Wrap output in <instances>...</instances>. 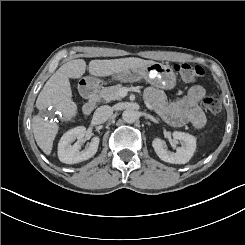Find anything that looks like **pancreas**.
<instances>
[{"label": "pancreas", "instance_id": "pancreas-1", "mask_svg": "<svg viewBox=\"0 0 245 245\" xmlns=\"http://www.w3.org/2000/svg\"><path fill=\"white\" fill-rule=\"evenodd\" d=\"M121 89L122 87L120 85L102 88L101 92H99L97 95L92 97L91 100L95 103L100 100H103L105 102H109L111 100H121L122 99V96L120 94Z\"/></svg>", "mask_w": 245, "mask_h": 245}]
</instances>
